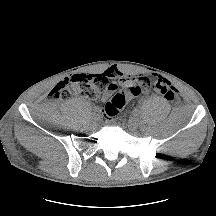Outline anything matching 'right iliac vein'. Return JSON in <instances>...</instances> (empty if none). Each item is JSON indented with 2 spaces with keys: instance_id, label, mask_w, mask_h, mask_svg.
Returning a JSON list of instances; mask_svg holds the SVG:
<instances>
[{
  "instance_id": "right-iliac-vein-1",
  "label": "right iliac vein",
  "mask_w": 216,
  "mask_h": 216,
  "mask_svg": "<svg viewBox=\"0 0 216 216\" xmlns=\"http://www.w3.org/2000/svg\"><path fill=\"white\" fill-rule=\"evenodd\" d=\"M98 121H99L98 115H93L92 118H91V123L93 125H96L98 123Z\"/></svg>"
}]
</instances>
